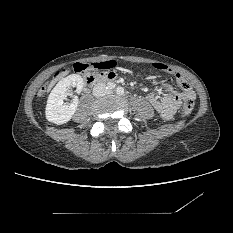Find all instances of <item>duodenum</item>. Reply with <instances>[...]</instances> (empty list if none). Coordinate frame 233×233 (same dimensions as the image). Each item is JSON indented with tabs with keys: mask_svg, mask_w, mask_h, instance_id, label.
I'll return each mask as SVG.
<instances>
[{
	"mask_svg": "<svg viewBox=\"0 0 233 233\" xmlns=\"http://www.w3.org/2000/svg\"><path fill=\"white\" fill-rule=\"evenodd\" d=\"M85 81L88 85H93L97 82H110L112 80L108 73H101L89 75L85 78Z\"/></svg>",
	"mask_w": 233,
	"mask_h": 233,
	"instance_id": "obj_1",
	"label": "duodenum"
}]
</instances>
